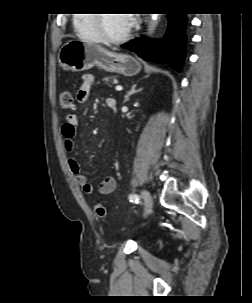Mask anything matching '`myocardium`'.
I'll return each instance as SVG.
<instances>
[{
	"label": "myocardium",
	"instance_id": "f54148a6",
	"mask_svg": "<svg viewBox=\"0 0 252 303\" xmlns=\"http://www.w3.org/2000/svg\"><path fill=\"white\" fill-rule=\"evenodd\" d=\"M104 15L105 14H95L97 27H98L99 33L102 37V40L106 43H113V44H118V43H121V42L127 40L132 32V24L129 26V28L126 30V32L123 33L122 35L116 36V37L110 36L105 32L104 27H103Z\"/></svg>",
	"mask_w": 252,
	"mask_h": 303
}]
</instances>
